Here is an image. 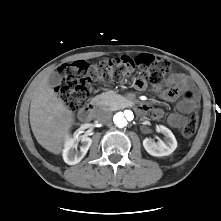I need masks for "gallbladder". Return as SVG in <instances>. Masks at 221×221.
Segmentation results:
<instances>
[{"mask_svg": "<svg viewBox=\"0 0 221 221\" xmlns=\"http://www.w3.org/2000/svg\"><path fill=\"white\" fill-rule=\"evenodd\" d=\"M61 81L62 77L58 72H52L48 77V84L52 87L60 85Z\"/></svg>", "mask_w": 221, "mask_h": 221, "instance_id": "1", "label": "gallbladder"}]
</instances>
